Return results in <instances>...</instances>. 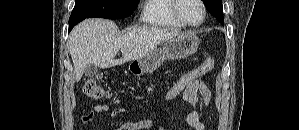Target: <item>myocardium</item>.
Masks as SVG:
<instances>
[{"instance_id":"f54148a6","label":"myocardium","mask_w":299,"mask_h":130,"mask_svg":"<svg viewBox=\"0 0 299 130\" xmlns=\"http://www.w3.org/2000/svg\"><path fill=\"white\" fill-rule=\"evenodd\" d=\"M180 1L181 0H172V11H173V14H174L176 20L179 23H181L183 26H186V27H189V28H196V27L201 26L204 23V21L206 19V14H207V10H206V6H205L204 1L203 0H197L198 3L201 6V9H202V17H201L200 21L197 22V23H190L182 17V15L180 14V11H179Z\"/></svg>"}]
</instances>
